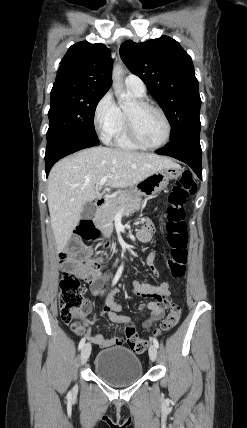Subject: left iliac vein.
<instances>
[{"label":"left iliac vein","mask_w":247,"mask_h":428,"mask_svg":"<svg viewBox=\"0 0 247 428\" xmlns=\"http://www.w3.org/2000/svg\"><path fill=\"white\" fill-rule=\"evenodd\" d=\"M149 356L152 361H155L157 358V348L155 345H150L149 347Z\"/></svg>","instance_id":"4c4485c4"}]
</instances>
